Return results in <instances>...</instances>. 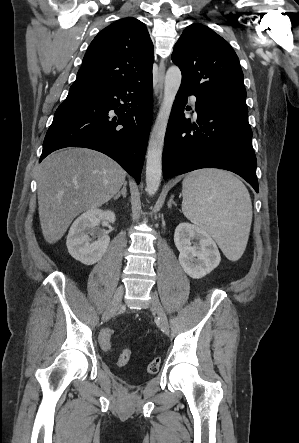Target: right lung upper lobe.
Wrapping results in <instances>:
<instances>
[{
	"label": "right lung upper lobe",
	"instance_id": "right-lung-upper-lobe-1",
	"mask_svg": "<svg viewBox=\"0 0 299 443\" xmlns=\"http://www.w3.org/2000/svg\"><path fill=\"white\" fill-rule=\"evenodd\" d=\"M154 47L144 23L129 17L91 42L71 89H96L152 76Z\"/></svg>",
	"mask_w": 299,
	"mask_h": 443
}]
</instances>
